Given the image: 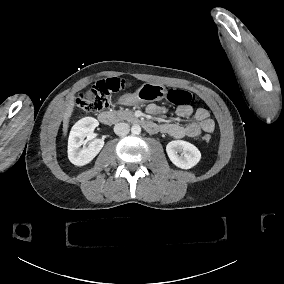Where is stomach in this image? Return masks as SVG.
<instances>
[{"label":"stomach","instance_id":"obj_1","mask_svg":"<svg viewBox=\"0 0 284 284\" xmlns=\"http://www.w3.org/2000/svg\"><path fill=\"white\" fill-rule=\"evenodd\" d=\"M167 95V88L156 83H144L133 93H124L118 98V104L135 106L137 104L161 101Z\"/></svg>","mask_w":284,"mask_h":284}]
</instances>
